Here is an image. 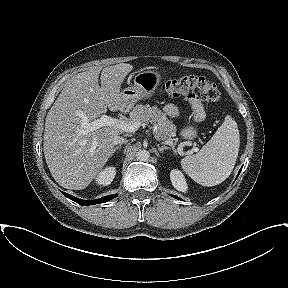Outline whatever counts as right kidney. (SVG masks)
<instances>
[{"mask_svg": "<svg viewBox=\"0 0 288 288\" xmlns=\"http://www.w3.org/2000/svg\"><path fill=\"white\" fill-rule=\"evenodd\" d=\"M115 175H116L115 167L111 166L106 167L103 171H101L98 174L96 178V183L103 186L109 185L113 181Z\"/></svg>", "mask_w": 288, "mask_h": 288, "instance_id": "right-kidney-1", "label": "right kidney"}]
</instances>
